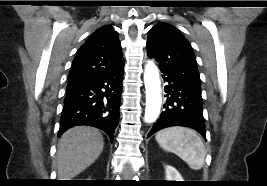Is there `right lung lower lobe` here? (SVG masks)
Listing matches in <instances>:
<instances>
[{"instance_id": "right-lung-lower-lobe-1", "label": "right lung lower lobe", "mask_w": 267, "mask_h": 186, "mask_svg": "<svg viewBox=\"0 0 267 186\" xmlns=\"http://www.w3.org/2000/svg\"><path fill=\"white\" fill-rule=\"evenodd\" d=\"M122 77L123 64L68 80L58 135L70 127L88 125L103 130L113 141Z\"/></svg>"}]
</instances>
